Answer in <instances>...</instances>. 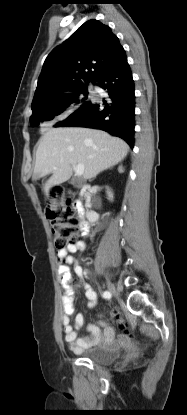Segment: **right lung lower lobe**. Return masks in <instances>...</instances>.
Instances as JSON below:
<instances>
[{"instance_id": "right-lung-lower-lobe-1", "label": "right lung lower lobe", "mask_w": 187, "mask_h": 415, "mask_svg": "<svg viewBox=\"0 0 187 415\" xmlns=\"http://www.w3.org/2000/svg\"><path fill=\"white\" fill-rule=\"evenodd\" d=\"M96 85L108 93L107 101L100 104L86 102L66 120L55 127L80 126L104 130L134 144L135 94L132 73L125 51L96 78Z\"/></svg>"}]
</instances>
